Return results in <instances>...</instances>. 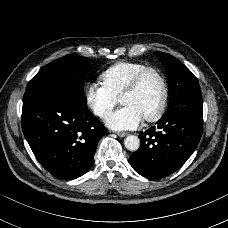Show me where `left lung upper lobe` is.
<instances>
[{"mask_svg": "<svg viewBox=\"0 0 228 228\" xmlns=\"http://www.w3.org/2000/svg\"><path fill=\"white\" fill-rule=\"evenodd\" d=\"M156 56L165 67L169 84L167 111L180 106H203L199 82L192 72L172 55L156 52Z\"/></svg>", "mask_w": 228, "mask_h": 228, "instance_id": "5c2ea615", "label": "left lung upper lobe"}]
</instances>
